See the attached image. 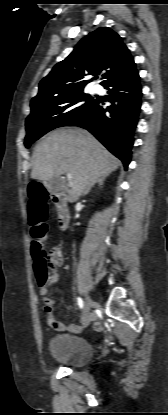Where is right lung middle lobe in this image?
Returning <instances> with one entry per match:
<instances>
[{
  "mask_svg": "<svg viewBox=\"0 0 168 415\" xmlns=\"http://www.w3.org/2000/svg\"><path fill=\"white\" fill-rule=\"evenodd\" d=\"M96 102V98L86 95L82 90L34 106L26 119L25 146L29 148L47 132L66 126L85 114Z\"/></svg>",
  "mask_w": 168,
  "mask_h": 415,
  "instance_id": "right-lung-middle-lobe-1",
  "label": "right lung middle lobe"
}]
</instances>
